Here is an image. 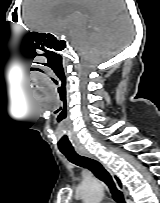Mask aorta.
<instances>
[{
    "mask_svg": "<svg viewBox=\"0 0 160 203\" xmlns=\"http://www.w3.org/2000/svg\"><path fill=\"white\" fill-rule=\"evenodd\" d=\"M79 192L83 203H101L104 196L102 184L95 179L82 183Z\"/></svg>",
    "mask_w": 160,
    "mask_h": 203,
    "instance_id": "obj_1",
    "label": "aorta"
}]
</instances>
